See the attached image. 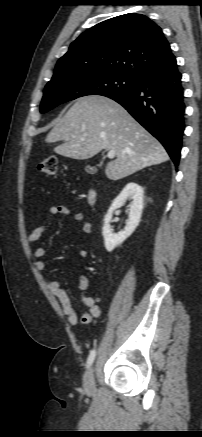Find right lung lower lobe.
I'll return each mask as SVG.
<instances>
[{
	"mask_svg": "<svg viewBox=\"0 0 202 437\" xmlns=\"http://www.w3.org/2000/svg\"><path fill=\"white\" fill-rule=\"evenodd\" d=\"M176 59L137 79L130 90L109 96L156 137L178 165L185 104Z\"/></svg>",
	"mask_w": 202,
	"mask_h": 437,
	"instance_id": "1",
	"label": "right lung lower lobe"
}]
</instances>
